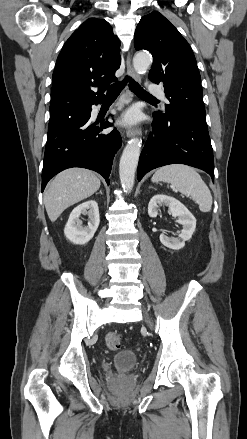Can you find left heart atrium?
Masks as SVG:
<instances>
[{
    "label": "left heart atrium",
    "mask_w": 247,
    "mask_h": 439,
    "mask_svg": "<svg viewBox=\"0 0 247 439\" xmlns=\"http://www.w3.org/2000/svg\"><path fill=\"white\" fill-rule=\"evenodd\" d=\"M138 119H139L138 111L136 109H130L124 114L122 118V122L124 124L130 125L136 123Z\"/></svg>",
    "instance_id": "1"
}]
</instances>
